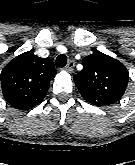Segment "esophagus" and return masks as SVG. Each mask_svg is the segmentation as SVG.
Returning <instances> with one entry per match:
<instances>
[{
	"mask_svg": "<svg viewBox=\"0 0 135 165\" xmlns=\"http://www.w3.org/2000/svg\"><path fill=\"white\" fill-rule=\"evenodd\" d=\"M75 62L73 60H70L68 64L65 66L64 70L71 73L74 70Z\"/></svg>",
	"mask_w": 135,
	"mask_h": 165,
	"instance_id": "obj_1",
	"label": "esophagus"
}]
</instances>
